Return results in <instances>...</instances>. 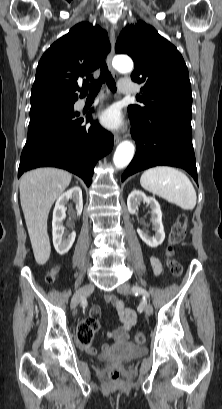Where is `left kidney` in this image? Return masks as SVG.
<instances>
[{
  "label": "left kidney",
  "mask_w": 222,
  "mask_h": 409,
  "mask_svg": "<svg viewBox=\"0 0 222 409\" xmlns=\"http://www.w3.org/2000/svg\"><path fill=\"white\" fill-rule=\"evenodd\" d=\"M141 202L147 203L151 208V221L154 226L155 235L150 236L147 232L137 229L140 238L148 246L155 248L161 245L165 239V232L162 224V211L158 201L153 197H147L144 192L140 190L132 191L127 199V207L130 214L134 215L138 211V206Z\"/></svg>",
  "instance_id": "1"
}]
</instances>
